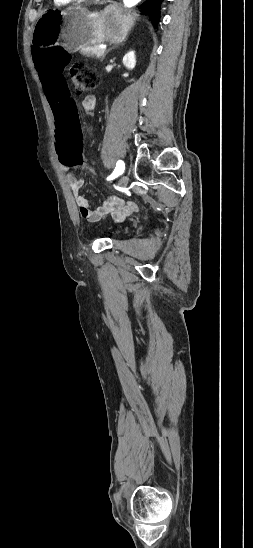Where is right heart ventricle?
I'll use <instances>...</instances> for the list:
<instances>
[{
	"mask_svg": "<svg viewBox=\"0 0 253 548\" xmlns=\"http://www.w3.org/2000/svg\"><path fill=\"white\" fill-rule=\"evenodd\" d=\"M56 5H67L72 2V0H53Z\"/></svg>",
	"mask_w": 253,
	"mask_h": 548,
	"instance_id": "e07e8e85",
	"label": "right heart ventricle"
}]
</instances>
